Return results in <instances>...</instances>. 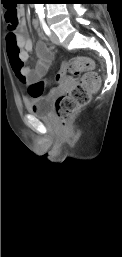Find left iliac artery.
Returning a JSON list of instances; mask_svg holds the SVG:
<instances>
[{
  "mask_svg": "<svg viewBox=\"0 0 122 257\" xmlns=\"http://www.w3.org/2000/svg\"><path fill=\"white\" fill-rule=\"evenodd\" d=\"M38 16H39V19H40V22H41V25H42V28H43V30H44V32L47 34V35H50V29H49V27L47 26V24H46V22H45V20H44V13L42 12H40V13H38Z\"/></svg>",
  "mask_w": 122,
  "mask_h": 257,
  "instance_id": "44dca946",
  "label": "left iliac artery"
}]
</instances>
